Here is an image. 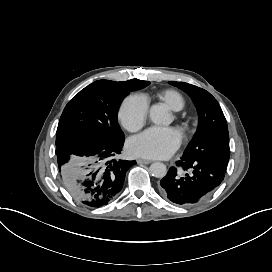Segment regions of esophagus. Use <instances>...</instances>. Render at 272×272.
<instances>
[{"label": "esophagus", "mask_w": 272, "mask_h": 272, "mask_svg": "<svg viewBox=\"0 0 272 272\" xmlns=\"http://www.w3.org/2000/svg\"><path fill=\"white\" fill-rule=\"evenodd\" d=\"M137 163L139 164H150L151 161L147 159H137Z\"/></svg>", "instance_id": "obj_1"}]
</instances>
